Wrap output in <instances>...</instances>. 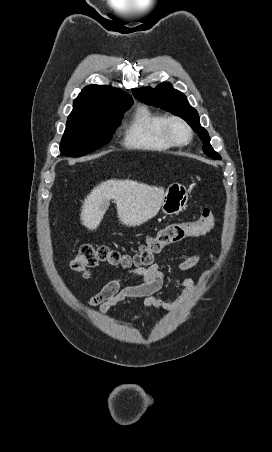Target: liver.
I'll return each instance as SVG.
<instances>
[{
	"mask_svg": "<svg viewBox=\"0 0 272 452\" xmlns=\"http://www.w3.org/2000/svg\"><path fill=\"white\" fill-rule=\"evenodd\" d=\"M164 194L163 187L129 179L106 180L84 199L80 219L89 230H96L113 200L120 222L129 227L139 226L157 215Z\"/></svg>",
	"mask_w": 272,
	"mask_h": 452,
	"instance_id": "1",
	"label": "liver"
}]
</instances>
